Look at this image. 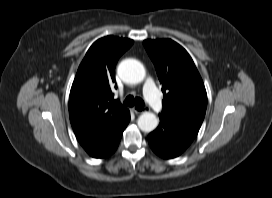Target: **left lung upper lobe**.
Here are the masks:
<instances>
[{
  "label": "left lung upper lobe",
  "mask_w": 272,
  "mask_h": 198,
  "mask_svg": "<svg viewBox=\"0 0 272 198\" xmlns=\"http://www.w3.org/2000/svg\"><path fill=\"white\" fill-rule=\"evenodd\" d=\"M143 45L162 84V115L200 127L206 112L207 94L190 55L170 39L145 40Z\"/></svg>",
  "instance_id": "1"
}]
</instances>
